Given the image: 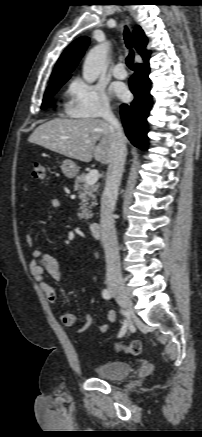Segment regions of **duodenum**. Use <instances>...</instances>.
Listing matches in <instances>:
<instances>
[{
  "label": "duodenum",
  "instance_id": "410a0bca",
  "mask_svg": "<svg viewBox=\"0 0 202 437\" xmlns=\"http://www.w3.org/2000/svg\"><path fill=\"white\" fill-rule=\"evenodd\" d=\"M89 232L93 238H99L101 235V225L99 222H91L88 226Z\"/></svg>",
  "mask_w": 202,
  "mask_h": 437
}]
</instances>
